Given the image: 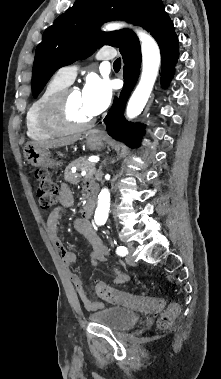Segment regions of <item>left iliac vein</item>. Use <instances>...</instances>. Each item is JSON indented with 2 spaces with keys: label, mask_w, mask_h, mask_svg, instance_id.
Wrapping results in <instances>:
<instances>
[{
  "label": "left iliac vein",
  "mask_w": 221,
  "mask_h": 379,
  "mask_svg": "<svg viewBox=\"0 0 221 379\" xmlns=\"http://www.w3.org/2000/svg\"><path fill=\"white\" fill-rule=\"evenodd\" d=\"M128 250H129V255L126 256V262L129 265L134 266V265H136V262H135L134 258L130 255V253H132L135 249L133 246L128 245Z\"/></svg>",
  "instance_id": "left-iliac-vein-1"
}]
</instances>
